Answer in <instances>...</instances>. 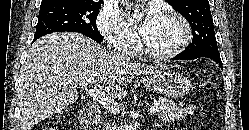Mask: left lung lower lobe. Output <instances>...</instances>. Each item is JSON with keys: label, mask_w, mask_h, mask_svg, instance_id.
Instances as JSON below:
<instances>
[{"label": "left lung lower lobe", "mask_w": 249, "mask_h": 130, "mask_svg": "<svg viewBox=\"0 0 249 130\" xmlns=\"http://www.w3.org/2000/svg\"><path fill=\"white\" fill-rule=\"evenodd\" d=\"M200 57L210 58L213 61H215L217 64H219V66L222 68V61L220 58V54L214 55V54H207V53H202V52H182L178 54L176 57H174L173 60H192V59H197Z\"/></svg>", "instance_id": "left-lung-lower-lobe-1"}]
</instances>
